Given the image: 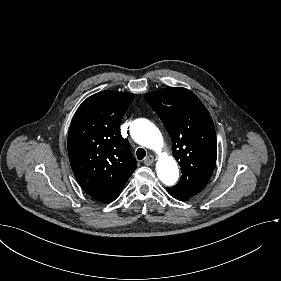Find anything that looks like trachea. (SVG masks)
I'll use <instances>...</instances> for the list:
<instances>
[{
	"label": "trachea",
	"mask_w": 281,
	"mask_h": 281,
	"mask_svg": "<svg viewBox=\"0 0 281 281\" xmlns=\"http://www.w3.org/2000/svg\"><path fill=\"white\" fill-rule=\"evenodd\" d=\"M136 155H137V158L139 160H142L146 156V151L144 149H142V148H138L137 151H136Z\"/></svg>",
	"instance_id": "trachea-1"
}]
</instances>
